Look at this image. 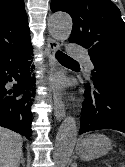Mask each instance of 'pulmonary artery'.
Segmentation results:
<instances>
[{"label": "pulmonary artery", "instance_id": "pulmonary-artery-1", "mask_svg": "<svg viewBox=\"0 0 125 167\" xmlns=\"http://www.w3.org/2000/svg\"><path fill=\"white\" fill-rule=\"evenodd\" d=\"M68 54L71 57H73V58L83 60L85 65H86V67L89 70H91L93 68V64L90 61V59L88 58L87 53L84 50H82V49H80L78 47H75L74 45L70 44L69 45Z\"/></svg>", "mask_w": 125, "mask_h": 167}]
</instances>
